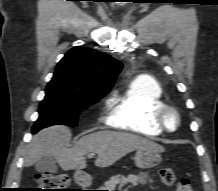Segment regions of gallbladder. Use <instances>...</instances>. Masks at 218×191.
<instances>
[{
	"instance_id": "gallbladder-1",
	"label": "gallbladder",
	"mask_w": 218,
	"mask_h": 191,
	"mask_svg": "<svg viewBox=\"0 0 218 191\" xmlns=\"http://www.w3.org/2000/svg\"><path fill=\"white\" fill-rule=\"evenodd\" d=\"M35 169L40 173L56 172L58 167L52 156H42L35 163Z\"/></svg>"
}]
</instances>
